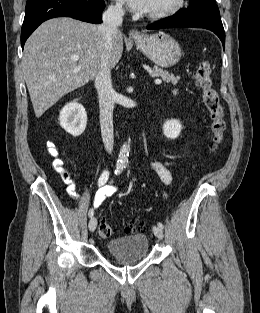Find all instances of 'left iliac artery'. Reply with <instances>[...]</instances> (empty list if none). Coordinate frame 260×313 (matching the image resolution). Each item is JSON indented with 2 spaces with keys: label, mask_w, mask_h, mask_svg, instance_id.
Listing matches in <instances>:
<instances>
[{
  "label": "left iliac artery",
  "mask_w": 260,
  "mask_h": 313,
  "mask_svg": "<svg viewBox=\"0 0 260 313\" xmlns=\"http://www.w3.org/2000/svg\"><path fill=\"white\" fill-rule=\"evenodd\" d=\"M158 226H159L161 229L164 228V225H163L161 222L158 223Z\"/></svg>",
  "instance_id": "1"
}]
</instances>
